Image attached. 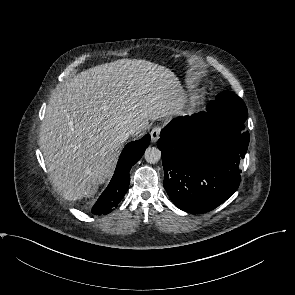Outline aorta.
<instances>
[{"label": "aorta", "mask_w": 295, "mask_h": 295, "mask_svg": "<svg viewBox=\"0 0 295 295\" xmlns=\"http://www.w3.org/2000/svg\"><path fill=\"white\" fill-rule=\"evenodd\" d=\"M144 158L150 164L157 163L161 158V151L156 147H149L144 153Z\"/></svg>", "instance_id": "obj_1"}]
</instances>
